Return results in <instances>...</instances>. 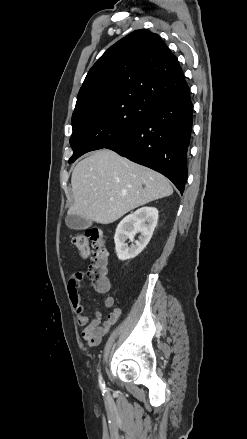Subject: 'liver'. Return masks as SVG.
I'll list each match as a JSON object with an SVG mask.
<instances>
[{
    "label": "liver",
    "instance_id": "obj_1",
    "mask_svg": "<svg viewBox=\"0 0 247 439\" xmlns=\"http://www.w3.org/2000/svg\"><path fill=\"white\" fill-rule=\"evenodd\" d=\"M71 184L74 203L69 213L100 224L173 193L165 176L108 149L80 161Z\"/></svg>",
    "mask_w": 247,
    "mask_h": 439
}]
</instances>
